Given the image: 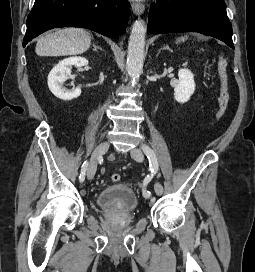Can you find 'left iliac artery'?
<instances>
[{"label": "left iliac artery", "instance_id": "obj_1", "mask_svg": "<svg viewBox=\"0 0 255 272\" xmlns=\"http://www.w3.org/2000/svg\"><path fill=\"white\" fill-rule=\"evenodd\" d=\"M142 150L145 153V155L147 156L149 163H150V167L152 169V173L148 174L147 177L144 178L143 188H146L148 183L152 181V178H154V174H156L158 172V161H157L154 151L148 145L143 144ZM150 195H151L150 192L144 191L145 197L148 198V197H150Z\"/></svg>", "mask_w": 255, "mask_h": 272}]
</instances>
